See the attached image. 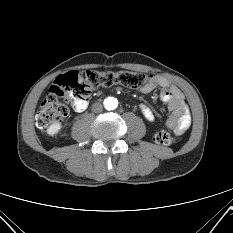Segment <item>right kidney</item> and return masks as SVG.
<instances>
[{"label": "right kidney", "instance_id": "1", "mask_svg": "<svg viewBox=\"0 0 233 233\" xmlns=\"http://www.w3.org/2000/svg\"><path fill=\"white\" fill-rule=\"evenodd\" d=\"M61 128H62L61 123L55 122L48 127L47 134L49 136H55L61 130Z\"/></svg>", "mask_w": 233, "mask_h": 233}]
</instances>
